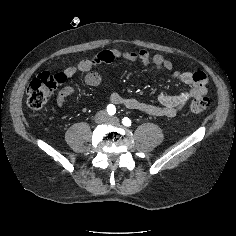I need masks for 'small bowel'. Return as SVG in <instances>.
Here are the masks:
<instances>
[{
  "instance_id": "small-bowel-1",
  "label": "small bowel",
  "mask_w": 236,
  "mask_h": 236,
  "mask_svg": "<svg viewBox=\"0 0 236 236\" xmlns=\"http://www.w3.org/2000/svg\"><path fill=\"white\" fill-rule=\"evenodd\" d=\"M118 58L132 62L140 61L145 67L152 64L157 70L171 71L173 69V63L170 60L165 59L159 54L151 56L145 49L139 51L103 49L91 58L81 60L77 66L67 67L62 73L67 80L72 78L78 71L83 72L85 73L84 82L86 85L100 87L106 82V79L95 68L101 63H111ZM173 78L187 86V90L176 95L160 94L159 105L135 98H127L116 92L108 94L107 98L112 104L123 105L128 109L139 110L152 116L174 117L186 107L192 98L206 94L208 77L203 71H176L173 73ZM74 92L75 89L72 86L63 87L56 97L57 106L63 107L66 99L73 95Z\"/></svg>"
}]
</instances>
